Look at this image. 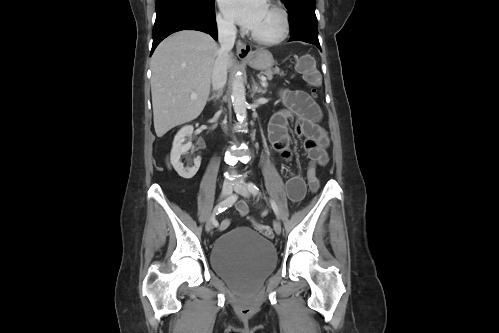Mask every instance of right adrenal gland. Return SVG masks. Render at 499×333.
<instances>
[{
	"instance_id": "right-adrenal-gland-1",
	"label": "right adrenal gland",
	"mask_w": 499,
	"mask_h": 333,
	"mask_svg": "<svg viewBox=\"0 0 499 333\" xmlns=\"http://www.w3.org/2000/svg\"><path fill=\"white\" fill-rule=\"evenodd\" d=\"M221 96V92H218L217 94H213L209 99L208 101H211V100H216L218 99L219 97Z\"/></svg>"
}]
</instances>
